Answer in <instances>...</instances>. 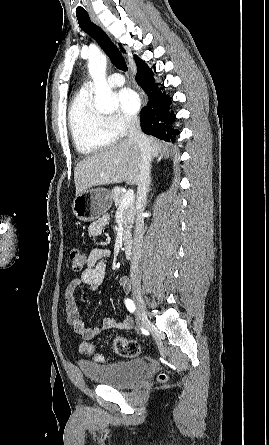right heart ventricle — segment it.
Here are the masks:
<instances>
[{
  "label": "right heart ventricle",
  "mask_w": 269,
  "mask_h": 445,
  "mask_svg": "<svg viewBox=\"0 0 269 445\" xmlns=\"http://www.w3.org/2000/svg\"><path fill=\"white\" fill-rule=\"evenodd\" d=\"M69 128L76 150L83 155L94 154L113 144L117 136L107 116L92 105L91 90L82 87L74 97L68 114Z\"/></svg>",
  "instance_id": "right-heart-ventricle-1"
}]
</instances>
